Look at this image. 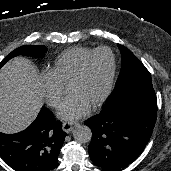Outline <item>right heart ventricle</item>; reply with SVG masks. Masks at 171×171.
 I'll return each instance as SVG.
<instances>
[{
	"instance_id": "1",
	"label": "right heart ventricle",
	"mask_w": 171,
	"mask_h": 171,
	"mask_svg": "<svg viewBox=\"0 0 171 171\" xmlns=\"http://www.w3.org/2000/svg\"><path fill=\"white\" fill-rule=\"evenodd\" d=\"M93 51L90 48L76 47L62 52L55 59L50 72L63 84H68L81 62Z\"/></svg>"
}]
</instances>
